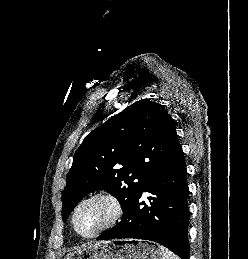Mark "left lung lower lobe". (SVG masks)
<instances>
[{
    "mask_svg": "<svg viewBox=\"0 0 248 259\" xmlns=\"http://www.w3.org/2000/svg\"><path fill=\"white\" fill-rule=\"evenodd\" d=\"M143 192L149 202L140 201ZM188 186L181 146L150 176L134 198L121 222L102 233L97 240L135 238L159 243L189 259Z\"/></svg>",
    "mask_w": 248,
    "mask_h": 259,
    "instance_id": "left-lung-lower-lobe-1",
    "label": "left lung lower lobe"
}]
</instances>
